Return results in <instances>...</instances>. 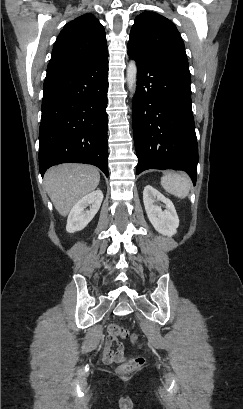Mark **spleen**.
<instances>
[{
	"mask_svg": "<svg viewBox=\"0 0 243 409\" xmlns=\"http://www.w3.org/2000/svg\"><path fill=\"white\" fill-rule=\"evenodd\" d=\"M162 187L179 198H185L190 190L191 181L184 173H168L161 178Z\"/></svg>",
	"mask_w": 243,
	"mask_h": 409,
	"instance_id": "obj_1",
	"label": "spleen"
}]
</instances>
